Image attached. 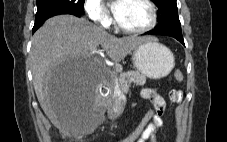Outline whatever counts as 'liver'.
<instances>
[{"instance_id": "6515ba94", "label": "liver", "mask_w": 227, "mask_h": 142, "mask_svg": "<svg viewBox=\"0 0 227 142\" xmlns=\"http://www.w3.org/2000/svg\"><path fill=\"white\" fill-rule=\"evenodd\" d=\"M151 37L117 38L84 18L58 15L48 19L32 37L30 62L36 96L46 116L63 133L80 134L82 122L100 104L96 89L104 77L97 70L95 52L99 46L115 63L123 60ZM58 61H93L87 88H52L50 81Z\"/></svg>"}]
</instances>
